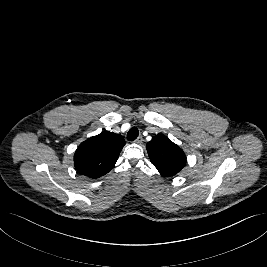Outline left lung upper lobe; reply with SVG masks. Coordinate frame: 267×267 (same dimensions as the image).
<instances>
[{
    "instance_id": "obj_1",
    "label": "left lung upper lobe",
    "mask_w": 267,
    "mask_h": 267,
    "mask_svg": "<svg viewBox=\"0 0 267 267\" xmlns=\"http://www.w3.org/2000/svg\"><path fill=\"white\" fill-rule=\"evenodd\" d=\"M146 147L151 163L163 176L176 175L186 164L183 150L163 134L154 136Z\"/></svg>"
}]
</instances>
